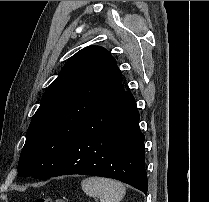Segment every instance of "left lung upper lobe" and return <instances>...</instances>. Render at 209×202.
<instances>
[{"label": "left lung upper lobe", "instance_id": "left-lung-upper-lobe-1", "mask_svg": "<svg viewBox=\"0 0 209 202\" xmlns=\"http://www.w3.org/2000/svg\"><path fill=\"white\" fill-rule=\"evenodd\" d=\"M124 91L110 52L100 46L78 51L43 94L26 133L18 175L50 178L84 122Z\"/></svg>", "mask_w": 209, "mask_h": 202}]
</instances>
